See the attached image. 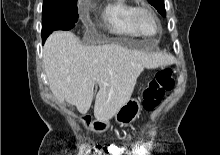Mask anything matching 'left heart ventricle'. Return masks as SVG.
<instances>
[{"label": "left heart ventricle", "instance_id": "1", "mask_svg": "<svg viewBox=\"0 0 220 155\" xmlns=\"http://www.w3.org/2000/svg\"><path fill=\"white\" fill-rule=\"evenodd\" d=\"M138 23L142 32L148 36H153L157 31L156 22L148 13H142L138 18Z\"/></svg>", "mask_w": 220, "mask_h": 155}]
</instances>
